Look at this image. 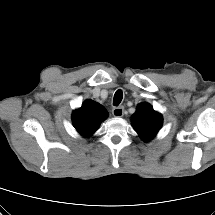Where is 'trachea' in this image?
Returning <instances> with one entry per match:
<instances>
[{
  "label": "trachea",
  "mask_w": 215,
  "mask_h": 215,
  "mask_svg": "<svg viewBox=\"0 0 215 215\" xmlns=\"http://www.w3.org/2000/svg\"><path fill=\"white\" fill-rule=\"evenodd\" d=\"M122 98L123 92L121 90H117L113 98V105L118 106L121 103Z\"/></svg>",
  "instance_id": "trachea-1"
}]
</instances>
